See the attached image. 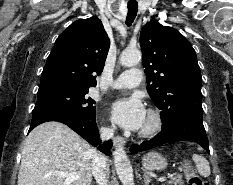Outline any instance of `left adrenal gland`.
<instances>
[{
  "mask_svg": "<svg viewBox=\"0 0 233 185\" xmlns=\"http://www.w3.org/2000/svg\"><path fill=\"white\" fill-rule=\"evenodd\" d=\"M143 179H144V184L149 185L151 178L149 177L148 174H146V172L143 174Z\"/></svg>",
  "mask_w": 233,
  "mask_h": 185,
  "instance_id": "left-adrenal-gland-1",
  "label": "left adrenal gland"
}]
</instances>
